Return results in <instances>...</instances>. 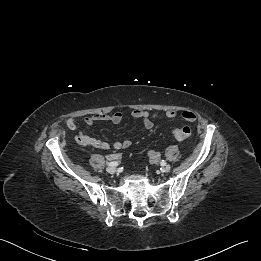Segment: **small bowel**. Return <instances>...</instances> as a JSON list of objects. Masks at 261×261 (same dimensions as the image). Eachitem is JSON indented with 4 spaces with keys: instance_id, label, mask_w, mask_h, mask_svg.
Masks as SVG:
<instances>
[{
    "instance_id": "small-bowel-1",
    "label": "small bowel",
    "mask_w": 261,
    "mask_h": 261,
    "mask_svg": "<svg viewBox=\"0 0 261 261\" xmlns=\"http://www.w3.org/2000/svg\"><path fill=\"white\" fill-rule=\"evenodd\" d=\"M177 111L173 109L166 110L164 113H150L146 110H140L136 109L132 111L131 116L133 119L140 120L143 127L146 130H151L154 127V120L158 118H175L177 116ZM182 118L187 122H193L196 120V114L193 111L185 110L181 114ZM123 120V114L121 112H113V113H95L91 114L85 117L84 122L88 126H92L96 122L99 121H109L113 124H120ZM67 126L71 130H76V141L81 146H91L97 149H108L110 147L109 143L101 140L96 137L89 136L78 129L75 121L73 119L67 120ZM132 144L131 140L125 139L123 141H117L114 143L113 147L116 150L126 149L130 147ZM149 156L152 160H155L158 157V154L156 152L151 151L149 153ZM114 158H117V155L113 156Z\"/></svg>"
}]
</instances>
